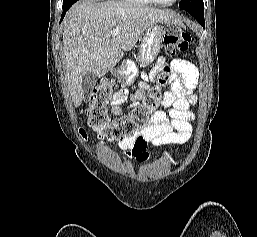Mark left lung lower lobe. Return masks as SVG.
I'll list each match as a JSON object with an SVG mask.
<instances>
[{"label":"left lung lower lobe","instance_id":"obj_1","mask_svg":"<svg viewBox=\"0 0 257 237\" xmlns=\"http://www.w3.org/2000/svg\"><path fill=\"white\" fill-rule=\"evenodd\" d=\"M197 21L200 23V25L205 28V22H204V13L198 14V13H190Z\"/></svg>","mask_w":257,"mask_h":237}]
</instances>
